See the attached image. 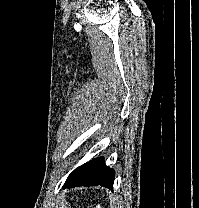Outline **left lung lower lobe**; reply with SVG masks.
Returning a JSON list of instances; mask_svg holds the SVG:
<instances>
[{"label": "left lung lower lobe", "mask_w": 199, "mask_h": 208, "mask_svg": "<svg viewBox=\"0 0 199 208\" xmlns=\"http://www.w3.org/2000/svg\"><path fill=\"white\" fill-rule=\"evenodd\" d=\"M114 176V170L108 168L104 159L100 157L75 169L67 178L63 188L101 185L112 189Z\"/></svg>", "instance_id": "left-lung-lower-lobe-1"}]
</instances>
